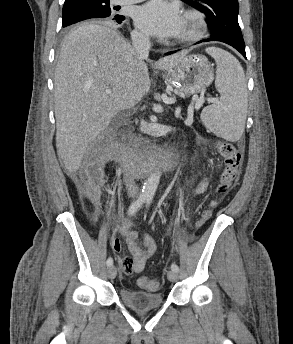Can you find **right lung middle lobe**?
Masks as SVG:
<instances>
[{
	"mask_svg": "<svg viewBox=\"0 0 293 344\" xmlns=\"http://www.w3.org/2000/svg\"><path fill=\"white\" fill-rule=\"evenodd\" d=\"M62 26L96 18H112L109 0H80L64 4Z\"/></svg>",
	"mask_w": 293,
	"mask_h": 344,
	"instance_id": "dd1d6c3e",
	"label": "right lung middle lobe"
}]
</instances>
